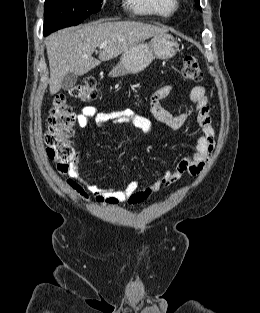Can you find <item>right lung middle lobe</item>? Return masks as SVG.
<instances>
[{
  "label": "right lung middle lobe",
  "instance_id": "dd1d6c3e",
  "mask_svg": "<svg viewBox=\"0 0 260 313\" xmlns=\"http://www.w3.org/2000/svg\"><path fill=\"white\" fill-rule=\"evenodd\" d=\"M103 0H46L43 32L48 35L58 29L81 23L100 11Z\"/></svg>",
  "mask_w": 260,
  "mask_h": 313
}]
</instances>
